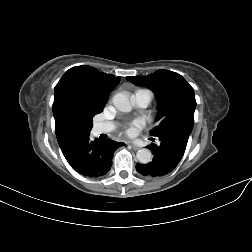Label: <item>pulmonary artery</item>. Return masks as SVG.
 Instances as JSON below:
<instances>
[{"label": "pulmonary artery", "instance_id": "obj_1", "mask_svg": "<svg viewBox=\"0 0 252 252\" xmlns=\"http://www.w3.org/2000/svg\"><path fill=\"white\" fill-rule=\"evenodd\" d=\"M133 100L138 107H142V108L147 107L148 104L150 103L149 95L145 91H139V92L135 93L133 96ZM113 127H114L113 124H110V123L96 124L93 127V133H94V135L108 133L113 130Z\"/></svg>", "mask_w": 252, "mask_h": 252}]
</instances>
